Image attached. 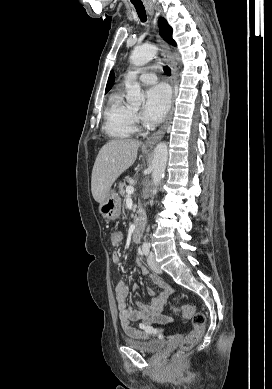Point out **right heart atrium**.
<instances>
[{
  "label": "right heart atrium",
  "mask_w": 272,
  "mask_h": 389,
  "mask_svg": "<svg viewBox=\"0 0 272 389\" xmlns=\"http://www.w3.org/2000/svg\"><path fill=\"white\" fill-rule=\"evenodd\" d=\"M135 119H136L137 121H139V120H140V116H139V115H136V116H135Z\"/></svg>",
  "instance_id": "1"
}]
</instances>
